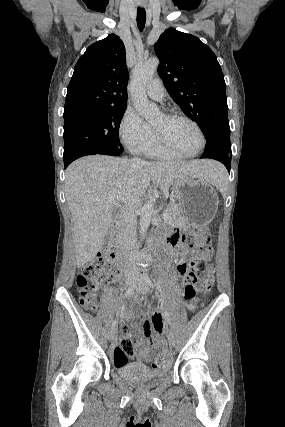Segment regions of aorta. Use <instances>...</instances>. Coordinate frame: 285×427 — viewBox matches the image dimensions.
I'll list each match as a JSON object with an SVG mask.
<instances>
[{
	"instance_id": "obj_1",
	"label": "aorta",
	"mask_w": 285,
	"mask_h": 427,
	"mask_svg": "<svg viewBox=\"0 0 285 427\" xmlns=\"http://www.w3.org/2000/svg\"><path fill=\"white\" fill-rule=\"evenodd\" d=\"M159 65V59L152 57L144 63H138L133 69L132 80L130 83V93L136 110L145 117L146 120H152L159 114L158 107L148 100L145 92V85L152 80ZM154 212L153 198L142 208L141 218L139 222L140 233L142 236L146 233L150 226L152 215Z\"/></svg>"
}]
</instances>
